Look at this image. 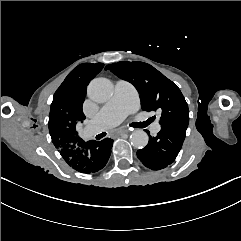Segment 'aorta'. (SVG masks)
<instances>
[{
    "label": "aorta",
    "instance_id": "1",
    "mask_svg": "<svg viewBox=\"0 0 241 241\" xmlns=\"http://www.w3.org/2000/svg\"><path fill=\"white\" fill-rule=\"evenodd\" d=\"M113 84L106 78L93 79L88 86V96L95 102H106L112 96ZM148 134L143 130H136L130 135L132 146L142 149L148 144Z\"/></svg>",
    "mask_w": 241,
    "mask_h": 241
}]
</instances>
